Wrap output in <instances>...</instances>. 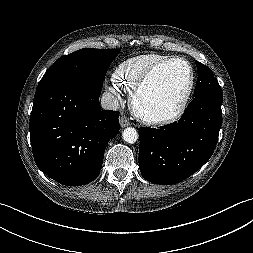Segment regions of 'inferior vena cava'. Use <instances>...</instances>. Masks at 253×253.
<instances>
[{
  "instance_id": "inferior-vena-cava-1",
  "label": "inferior vena cava",
  "mask_w": 253,
  "mask_h": 253,
  "mask_svg": "<svg viewBox=\"0 0 253 253\" xmlns=\"http://www.w3.org/2000/svg\"><path fill=\"white\" fill-rule=\"evenodd\" d=\"M101 107L108 110H118L120 106L116 96L110 92H104L101 97Z\"/></svg>"
}]
</instances>
